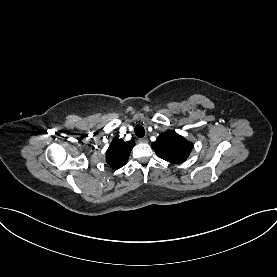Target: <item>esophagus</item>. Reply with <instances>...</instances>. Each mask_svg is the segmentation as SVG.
Listing matches in <instances>:
<instances>
[{
    "instance_id": "1",
    "label": "esophagus",
    "mask_w": 277,
    "mask_h": 277,
    "mask_svg": "<svg viewBox=\"0 0 277 277\" xmlns=\"http://www.w3.org/2000/svg\"><path fill=\"white\" fill-rule=\"evenodd\" d=\"M140 143H148V138L147 137H142V138H139L138 140Z\"/></svg>"
}]
</instances>
